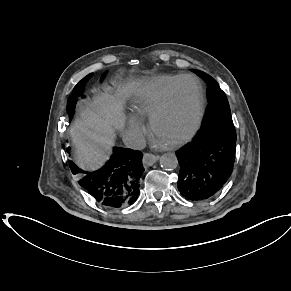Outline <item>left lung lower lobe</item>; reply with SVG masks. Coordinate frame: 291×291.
<instances>
[{
    "label": "left lung lower lobe",
    "instance_id": "left-lung-lower-lobe-1",
    "mask_svg": "<svg viewBox=\"0 0 291 291\" xmlns=\"http://www.w3.org/2000/svg\"><path fill=\"white\" fill-rule=\"evenodd\" d=\"M235 152L236 141L197 133L176 152L180 165L177 187L182 196L192 201L215 196L233 171Z\"/></svg>",
    "mask_w": 291,
    "mask_h": 291
}]
</instances>
